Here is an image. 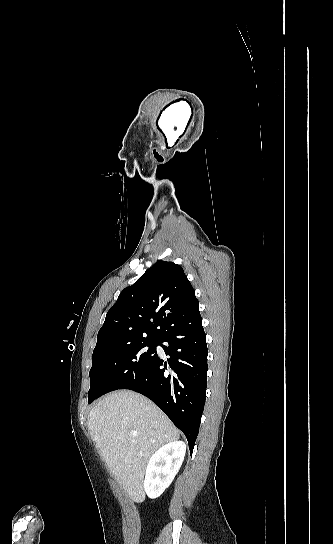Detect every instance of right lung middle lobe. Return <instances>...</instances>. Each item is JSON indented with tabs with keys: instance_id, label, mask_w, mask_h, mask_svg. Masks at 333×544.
Returning <instances> with one entry per match:
<instances>
[{
	"instance_id": "right-lung-middle-lobe-1",
	"label": "right lung middle lobe",
	"mask_w": 333,
	"mask_h": 544,
	"mask_svg": "<svg viewBox=\"0 0 333 544\" xmlns=\"http://www.w3.org/2000/svg\"><path fill=\"white\" fill-rule=\"evenodd\" d=\"M158 340L137 339L92 356L88 403L98 397L122 389L139 377L157 357Z\"/></svg>"
}]
</instances>
